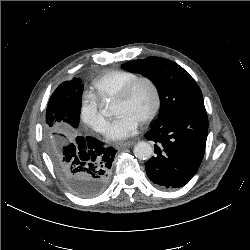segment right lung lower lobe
Returning a JSON list of instances; mask_svg holds the SVG:
<instances>
[{
	"instance_id": "98d812e1",
	"label": "right lung lower lobe",
	"mask_w": 250,
	"mask_h": 250,
	"mask_svg": "<svg viewBox=\"0 0 250 250\" xmlns=\"http://www.w3.org/2000/svg\"><path fill=\"white\" fill-rule=\"evenodd\" d=\"M63 143L66 146H63L55 164L66 186L82 198H91L103 192L109 183L116 150L104 147L91 136H76L71 143Z\"/></svg>"
}]
</instances>
